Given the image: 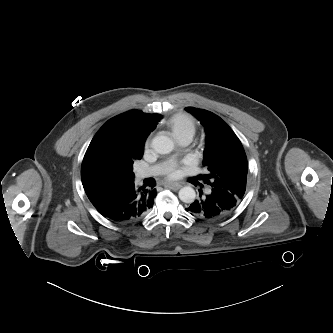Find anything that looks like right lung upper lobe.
<instances>
[{
  "label": "right lung upper lobe",
  "mask_w": 333,
  "mask_h": 333,
  "mask_svg": "<svg viewBox=\"0 0 333 333\" xmlns=\"http://www.w3.org/2000/svg\"><path fill=\"white\" fill-rule=\"evenodd\" d=\"M160 119L158 114H147L138 110H131L110 119L92 139L84 159H91L103 149L116 144L125 145L132 151L143 154L145 140ZM91 186L94 185H86L84 188Z\"/></svg>",
  "instance_id": "cb5924a9"
}]
</instances>
